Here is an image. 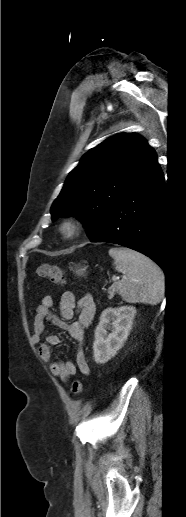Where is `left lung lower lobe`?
<instances>
[{
	"instance_id": "left-lung-lower-lobe-1",
	"label": "left lung lower lobe",
	"mask_w": 186,
	"mask_h": 517,
	"mask_svg": "<svg viewBox=\"0 0 186 517\" xmlns=\"http://www.w3.org/2000/svg\"><path fill=\"white\" fill-rule=\"evenodd\" d=\"M164 176L157 159L105 216L93 242H109L136 250L155 261L166 273Z\"/></svg>"
}]
</instances>
